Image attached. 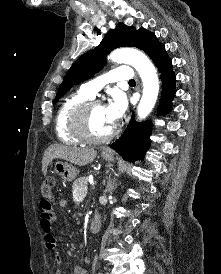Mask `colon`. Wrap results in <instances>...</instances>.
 Instances as JSON below:
<instances>
[{"label":"colon","instance_id":"colon-1","mask_svg":"<svg viewBox=\"0 0 221 274\" xmlns=\"http://www.w3.org/2000/svg\"><path fill=\"white\" fill-rule=\"evenodd\" d=\"M54 185L55 181L53 178L50 177L45 179L41 185V193L46 201L49 203L54 197Z\"/></svg>","mask_w":221,"mask_h":274}]
</instances>
